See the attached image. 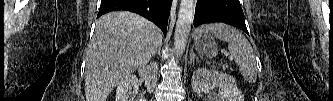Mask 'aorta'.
Segmentation results:
<instances>
[{
  "instance_id": "1",
  "label": "aorta",
  "mask_w": 333,
  "mask_h": 101,
  "mask_svg": "<svg viewBox=\"0 0 333 101\" xmlns=\"http://www.w3.org/2000/svg\"><path fill=\"white\" fill-rule=\"evenodd\" d=\"M194 9L195 0H181L174 34V49L177 55H182L185 50L194 18Z\"/></svg>"
}]
</instances>
